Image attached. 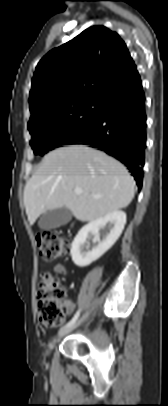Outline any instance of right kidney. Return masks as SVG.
<instances>
[{"instance_id": "ca27d5eb", "label": "right kidney", "mask_w": 168, "mask_h": 406, "mask_svg": "<svg viewBox=\"0 0 168 406\" xmlns=\"http://www.w3.org/2000/svg\"><path fill=\"white\" fill-rule=\"evenodd\" d=\"M125 224V212L117 210L82 227L71 245L70 254L73 262L79 267H85L99 259L118 240ZM106 225H108L110 231L100 241L99 230ZM90 233L94 236L93 243H97L91 250L86 244Z\"/></svg>"}]
</instances>
